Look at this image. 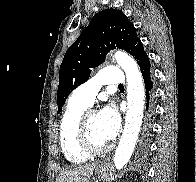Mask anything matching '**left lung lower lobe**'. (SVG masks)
Wrapping results in <instances>:
<instances>
[{
    "mask_svg": "<svg viewBox=\"0 0 196 182\" xmlns=\"http://www.w3.org/2000/svg\"><path fill=\"white\" fill-rule=\"evenodd\" d=\"M140 70L142 72V76L145 83L146 95H147V109L149 108V117H153V96H152V87L153 82L151 78L150 71V61L147 55L142 57L138 63Z\"/></svg>",
    "mask_w": 196,
    "mask_h": 182,
    "instance_id": "obj_1",
    "label": "left lung lower lobe"
}]
</instances>
